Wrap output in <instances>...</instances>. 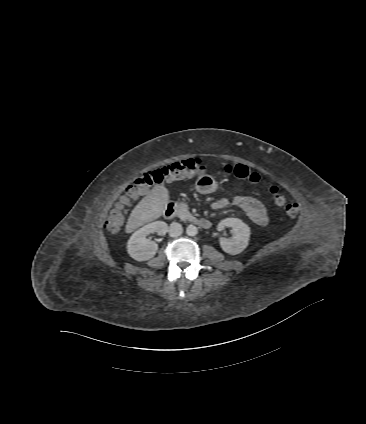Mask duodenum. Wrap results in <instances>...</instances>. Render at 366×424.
Instances as JSON below:
<instances>
[{
	"label": "duodenum",
	"instance_id": "obj_1",
	"mask_svg": "<svg viewBox=\"0 0 366 424\" xmlns=\"http://www.w3.org/2000/svg\"><path fill=\"white\" fill-rule=\"evenodd\" d=\"M179 215V211L177 206L174 203H168L165 206L164 209V216L167 219H173ZM192 223L196 224L197 226L208 229L211 226V222L208 219L205 218H196L191 220Z\"/></svg>",
	"mask_w": 366,
	"mask_h": 424
}]
</instances>
